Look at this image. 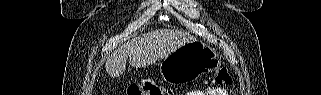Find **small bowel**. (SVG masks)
I'll return each instance as SVG.
<instances>
[{
  "label": "small bowel",
  "mask_w": 321,
  "mask_h": 95,
  "mask_svg": "<svg viewBox=\"0 0 321 95\" xmlns=\"http://www.w3.org/2000/svg\"><path fill=\"white\" fill-rule=\"evenodd\" d=\"M188 95H226L223 89H208L206 92H190Z\"/></svg>",
  "instance_id": "c3829d8e"
}]
</instances>
